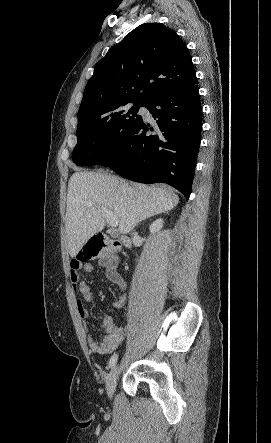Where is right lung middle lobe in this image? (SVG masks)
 <instances>
[{"label": "right lung middle lobe", "mask_w": 271, "mask_h": 443, "mask_svg": "<svg viewBox=\"0 0 271 443\" xmlns=\"http://www.w3.org/2000/svg\"><path fill=\"white\" fill-rule=\"evenodd\" d=\"M141 106L147 104H124L101 117L78 118L73 162L77 166L103 165L142 123V117L136 115Z\"/></svg>", "instance_id": "right-lung-middle-lobe-1"}]
</instances>
